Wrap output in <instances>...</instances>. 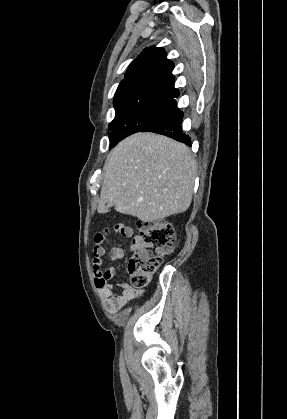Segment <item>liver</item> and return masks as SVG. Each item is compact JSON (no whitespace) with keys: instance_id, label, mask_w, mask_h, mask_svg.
Listing matches in <instances>:
<instances>
[{"instance_id":"6515ba94","label":"liver","mask_w":287,"mask_h":419,"mask_svg":"<svg viewBox=\"0 0 287 419\" xmlns=\"http://www.w3.org/2000/svg\"><path fill=\"white\" fill-rule=\"evenodd\" d=\"M98 213L113 204L145 222L185 212L192 201L196 162L188 146L153 133H136L108 155Z\"/></svg>"}]
</instances>
